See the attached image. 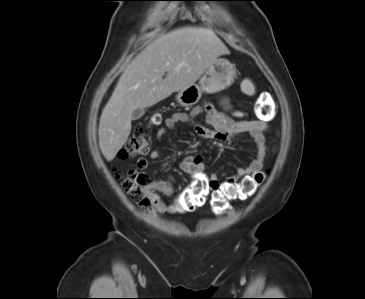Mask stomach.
<instances>
[{
	"label": "stomach",
	"instance_id": "0dacf381",
	"mask_svg": "<svg viewBox=\"0 0 365 299\" xmlns=\"http://www.w3.org/2000/svg\"><path fill=\"white\" fill-rule=\"evenodd\" d=\"M235 76L234 65L224 58H218L204 72L199 83L179 91L176 100L181 106H193L199 102L203 92L213 94L230 87Z\"/></svg>",
	"mask_w": 365,
	"mask_h": 299
}]
</instances>
